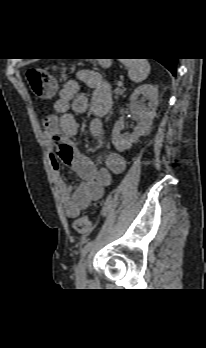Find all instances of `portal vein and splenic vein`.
<instances>
[{
  "label": "portal vein and splenic vein",
  "mask_w": 206,
  "mask_h": 348,
  "mask_svg": "<svg viewBox=\"0 0 206 348\" xmlns=\"http://www.w3.org/2000/svg\"><path fill=\"white\" fill-rule=\"evenodd\" d=\"M123 85V82L122 81H119L118 82V86H122Z\"/></svg>",
  "instance_id": "portal-vein-and-splenic-vein-1"
}]
</instances>
